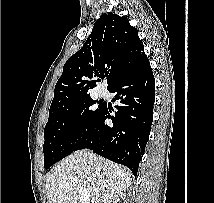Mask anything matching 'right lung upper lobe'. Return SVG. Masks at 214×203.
I'll use <instances>...</instances> for the list:
<instances>
[{
  "mask_svg": "<svg viewBox=\"0 0 214 203\" xmlns=\"http://www.w3.org/2000/svg\"><path fill=\"white\" fill-rule=\"evenodd\" d=\"M149 62L138 31L127 17L105 13L94 24L83 47L64 64L50 110L89 97L104 74L109 89L121 78Z\"/></svg>",
  "mask_w": 214,
  "mask_h": 203,
  "instance_id": "cb5924a9",
  "label": "right lung upper lobe"
}]
</instances>
